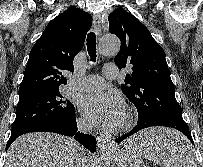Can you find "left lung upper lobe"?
<instances>
[{"label":"left lung upper lobe","instance_id":"5c2ea615","mask_svg":"<svg viewBox=\"0 0 203 167\" xmlns=\"http://www.w3.org/2000/svg\"><path fill=\"white\" fill-rule=\"evenodd\" d=\"M109 31L119 37L121 48L114 61L126 75L122 92L138 111L137 123L183 119L162 47L131 13L117 8L108 17Z\"/></svg>","mask_w":203,"mask_h":167}]
</instances>
